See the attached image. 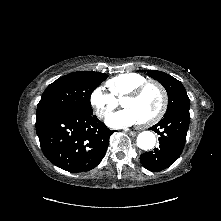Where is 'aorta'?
I'll return each mask as SVG.
<instances>
[{"label": "aorta", "mask_w": 221, "mask_h": 221, "mask_svg": "<svg viewBox=\"0 0 221 221\" xmlns=\"http://www.w3.org/2000/svg\"><path fill=\"white\" fill-rule=\"evenodd\" d=\"M156 144V137L150 131L141 132L137 137V146L142 150H150Z\"/></svg>", "instance_id": "aorta-1"}]
</instances>
